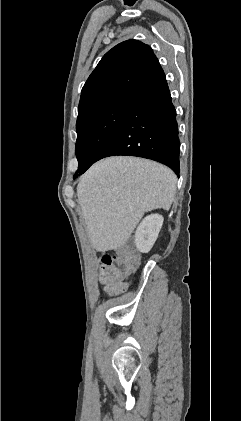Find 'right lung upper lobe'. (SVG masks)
Masks as SVG:
<instances>
[{
	"mask_svg": "<svg viewBox=\"0 0 241 421\" xmlns=\"http://www.w3.org/2000/svg\"><path fill=\"white\" fill-rule=\"evenodd\" d=\"M163 72L150 46L124 41L108 51L81 91L78 118L96 109L131 101Z\"/></svg>",
	"mask_w": 241,
	"mask_h": 421,
	"instance_id": "cb5924a9",
	"label": "right lung upper lobe"
}]
</instances>
